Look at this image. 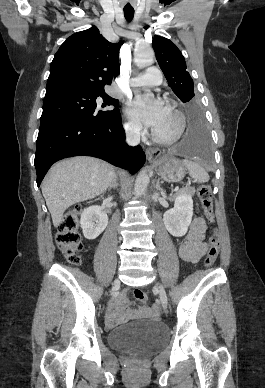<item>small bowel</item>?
Masks as SVG:
<instances>
[{"label": "small bowel", "instance_id": "1", "mask_svg": "<svg viewBox=\"0 0 265 388\" xmlns=\"http://www.w3.org/2000/svg\"><path fill=\"white\" fill-rule=\"evenodd\" d=\"M206 222L203 218L197 217L193 220L188 235L182 240L179 246L181 259L188 263H196L207 251V244L204 242ZM127 299L124 293L116 297L110 304L107 313V323L113 326L123 319L122 307Z\"/></svg>", "mask_w": 265, "mask_h": 388}]
</instances>
